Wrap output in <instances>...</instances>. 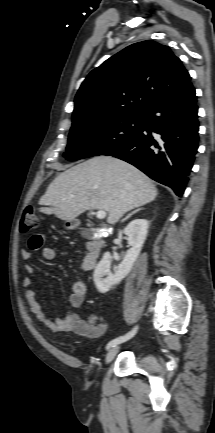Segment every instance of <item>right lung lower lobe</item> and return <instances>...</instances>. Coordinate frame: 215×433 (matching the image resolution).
I'll list each match as a JSON object with an SVG mask.
<instances>
[{
	"instance_id": "obj_1",
	"label": "right lung lower lobe",
	"mask_w": 215,
	"mask_h": 433,
	"mask_svg": "<svg viewBox=\"0 0 215 433\" xmlns=\"http://www.w3.org/2000/svg\"><path fill=\"white\" fill-rule=\"evenodd\" d=\"M196 102L195 89L189 82L144 113L136 138L104 155L134 165L181 196L199 142Z\"/></svg>"
}]
</instances>
